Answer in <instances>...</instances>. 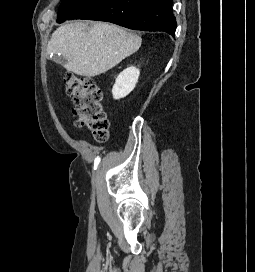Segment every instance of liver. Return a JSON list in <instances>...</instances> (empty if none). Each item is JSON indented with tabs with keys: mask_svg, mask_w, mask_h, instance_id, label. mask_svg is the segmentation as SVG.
Listing matches in <instances>:
<instances>
[{
	"mask_svg": "<svg viewBox=\"0 0 255 272\" xmlns=\"http://www.w3.org/2000/svg\"><path fill=\"white\" fill-rule=\"evenodd\" d=\"M140 36L105 22H74L60 26L47 44V54L60 55L64 67L94 77L115 67L141 46Z\"/></svg>",
	"mask_w": 255,
	"mask_h": 272,
	"instance_id": "6515ba94",
	"label": "liver"
}]
</instances>
